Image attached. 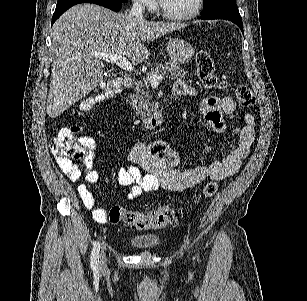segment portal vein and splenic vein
Masks as SVG:
<instances>
[{
    "mask_svg": "<svg viewBox=\"0 0 307 301\" xmlns=\"http://www.w3.org/2000/svg\"><path fill=\"white\" fill-rule=\"evenodd\" d=\"M95 56L104 58L106 62H114V64H117V66H120L123 70H134L133 64H131L123 54H95ZM163 78V74H150L148 80L151 86H158L160 80H163Z\"/></svg>",
    "mask_w": 307,
    "mask_h": 301,
    "instance_id": "18ae733b",
    "label": "portal vein and splenic vein"
}]
</instances>
